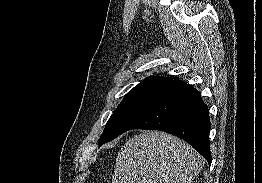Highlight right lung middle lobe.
Listing matches in <instances>:
<instances>
[{
  "label": "right lung middle lobe",
  "instance_id": "1",
  "mask_svg": "<svg viewBox=\"0 0 262 183\" xmlns=\"http://www.w3.org/2000/svg\"><path fill=\"white\" fill-rule=\"evenodd\" d=\"M156 93V91L127 93L123 101L109 118L100 137L99 145L109 142L122 134L128 123L146 107Z\"/></svg>",
  "mask_w": 262,
  "mask_h": 183
}]
</instances>
